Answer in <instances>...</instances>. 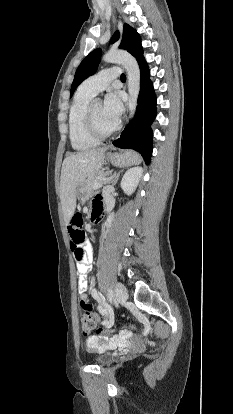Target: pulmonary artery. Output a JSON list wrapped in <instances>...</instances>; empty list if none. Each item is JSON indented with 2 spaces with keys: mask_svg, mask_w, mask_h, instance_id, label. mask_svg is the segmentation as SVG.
<instances>
[{
  "mask_svg": "<svg viewBox=\"0 0 233 414\" xmlns=\"http://www.w3.org/2000/svg\"><path fill=\"white\" fill-rule=\"evenodd\" d=\"M120 69L117 67L106 68L87 78L80 89L85 93L95 96L103 91L109 83L120 76Z\"/></svg>",
  "mask_w": 233,
  "mask_h": 414,
  "instance_id": "e3ab8cb5",
  "label": "pulmonary artery"
}]
</instances>
